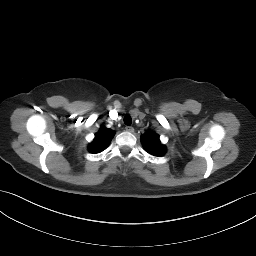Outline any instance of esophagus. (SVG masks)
Segmentation results:
<instances>
[{"label": "esophagus", "instance_id": "1", "mask_svg": "<svg viewBox=\"0 0 256 256\" xmlns=\"http://www.w3.org/2000/svg\"><path fill=\"white\" fill-rule=\"evenodd\" d=\"M126 131L130 132V133H133L134 132V128L131 127V126H126Z\"/></svg>", "mask_w": 256, "mask_h": 256}]
</instances>
